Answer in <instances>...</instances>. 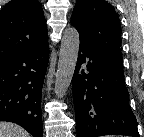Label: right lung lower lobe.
<instances>
[{
	"mask_svg": "<svg viewBox=\"0 0 144 137\" xmlns=\"http://www.w3.org/2000/svg\"><path fill=\"white\" fill-rule=\"evenodd\" d=\"M49 60L47 39L0 64V121L42 137V85Z\"/></svg>",
	"mask_w": 144,
	"mask_h": 137,
	"instance_id": "right-lung-lower-lobe-1",
	"label": "right lung lower lobe"
}]
</instances>
